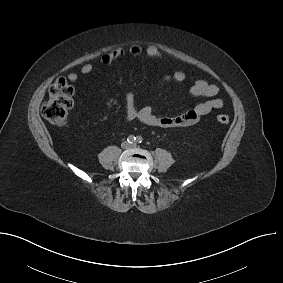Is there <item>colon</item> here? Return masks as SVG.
Masks as SVG:
<instances>
[{
    "mask_svg": "<svg viewBox=\"0 0 283 283\" xmlns=\"http://www.w3.org/2000/svg\"><path fill=\"white\" fill-rule=\"evenodd\" d=\"M73 87L64 79L55 82L49 90V98L42 106V115L56 126H64L73 107ZM217 122L226 125L230 118L227 114H218Z\"/></svg>",
    "mask_w": 283,
    "mask_h": 283,
    "instance_id": "5ec220e1",
    "label": "colon"
}]
</instances>
